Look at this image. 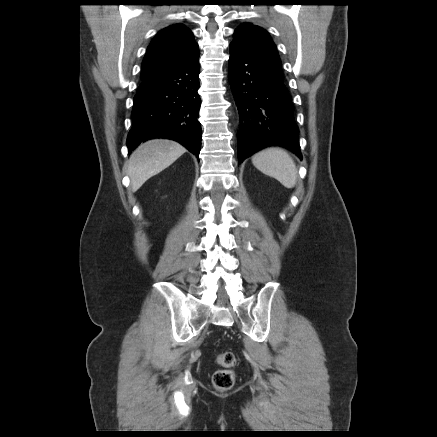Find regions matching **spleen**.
Masks as SVG:
<instances>
[{
  "label": "spleen",
  "mask_w": 437,
  "mask_h": 437,
  "mask_svg": "<svg viewBox=\"0 0 437 437\" xmlns=\"http://www.w3.org/2000/svg\"><path fill=\"white\" fill-rule=\"evenodd\" d=\"M253 165L262 173L275 178L290 189L297 183V168L292 157L283 149L270 147L252 157Z\"/></svg>",
  "instance_id": "obj_1"
}]
</instances>
